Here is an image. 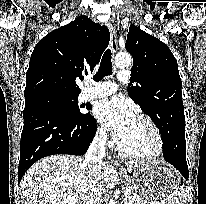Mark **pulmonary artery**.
I'll return each mask as SVG.
<instances>
[{"mask_svg":"<svg viewBox=\"0 0 206 204\" xmlns=\"http://www.w3.org/2000/svg\"><path fill=\"white\" fill-rule=\"evenodd\" d=\"M118 79L121 83H127L129 80L128 72L126 71L119 72ZM117 89H118L117 84L111 81L96 83L93 84L92 87L85 90L82 94V97L84 100L100 98L116 92Z\"/></svg>","mask_w":206,"mask_h":204,"instance_id":"pulmonary-artery-1","label":"pulmonary artery"}]
</instances>
